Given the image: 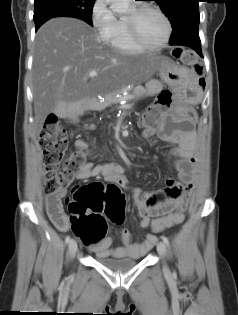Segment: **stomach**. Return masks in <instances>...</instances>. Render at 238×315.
<instances>
[{
	"instance_id": "1",
	"label": "stomach",
	"mask_w": 238,
	"mask_h": 315,
	"mask_svg": "<svg viewBox=\"0 0 238 315\" xmlns=\"http://www.w3.org/2000/svg\"><path fill=\"white\" fill-rule=\"evenodd\" d=\"M163 65L157 70L160 80L172 87L173 91L182 94L188 105H176L177 116H182V122H195V116H199V109L192 107L201 100L199 87L193 86V72H179L173 61L161 56Z\"/></svg>"
}]
</instances>
